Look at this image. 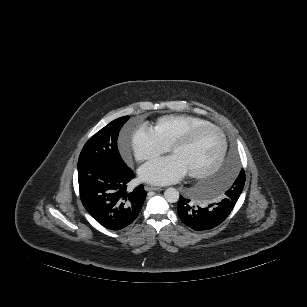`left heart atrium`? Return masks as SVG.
<instances>
[{"instance_id": "1", "label": "left heart atrium", "mask_w": 307, "mask_h": 307, "mask_svg": "<svg viewBox=\"0 0 307 307\" xmlns=\"http://www.w3.org/2000/svg\"><path fill=\"white\" fill-rule=\"evenodd\" d=\"M142 181L152 184H170L183 178L187 171L173 155L156 159L141 166L138 171Z\"/></svg>"}]
</instances>
